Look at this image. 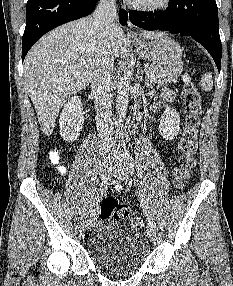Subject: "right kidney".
<instances>
[{"label":"right kidney","instance_id":"1","mask_svg":"<svg viewBox=\"0 0 233 286\" xmlns=\"http://www.w3.org/2000/svg\"><path fill=\"white\" fill-rule=\"evenodd\" d=\"M60 134L67 142L75 141L84 123L83 106L78 96H72L60 114Z\"/></svg>","mask_w":233,"mask_h":286}]
</instances>
